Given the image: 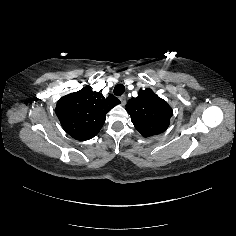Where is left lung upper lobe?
<instances>
[{
  "label": "left lung upper lobe",
  "instance_id": "obj_1",
  "mask_svg": "<svg viewBox=\"0 0 236 236\" xmlns=\"http://www.w3.org/2000/svg\"><path fill=\"white\" fill-rule=\"evenodd\" d=\"M131 121L144 137L164 132L170 122L172 109L151 89L140 90L138 97L131 98L126 104Z\"/></svg>",
  "mask_w": 236,
  "mask_h": 236
}]
</instances>
